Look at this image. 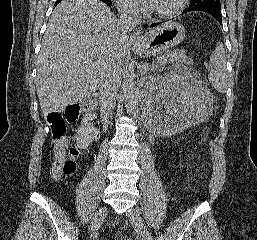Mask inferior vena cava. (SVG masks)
<instances>
[{
    "mask_svg": "<svg viewBox=\"0 0 257 240\" xmlns=\"http://www.w3.org/2000/svg\"><path fill=\"white\" fill-rule=\"evenodd\" d=\"M121 16L117 22V34L119 39L128 38V33L132 31L140 21L138 7L131 3H125L120 7ZM121 85V72L114 68L101 82L99 86L101 115L106 122L115 107L117 93Z\"/></svg>",
    "mask_w": 257,
    "mask_h": 240,
    "instance_id": "inferior-vena-cava-1",
    "label": "inferior vena cava"
}]
</instances>
